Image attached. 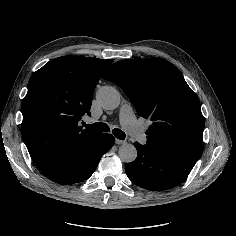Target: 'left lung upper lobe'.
Listing matches in <instances>:
<instances>
[{
  "label": "left lung upper lobe",
  "instance_id": "1",
  "mask_svg": "<svg viewBox=\"0 0 236 236\" xmlns=\"http://www.w3.org/2000/svg\"><path fill=\"white\" fill-rule=\"evenodd\" d=\"M102 78L120 86L139 116L152 121L146 144L195 165L203 152L204 118L198 96L176 66L162 58L122 60Z\"/></svg>",
  "mask_w": 236,
  "mask_h": 236
}]
</instances>
